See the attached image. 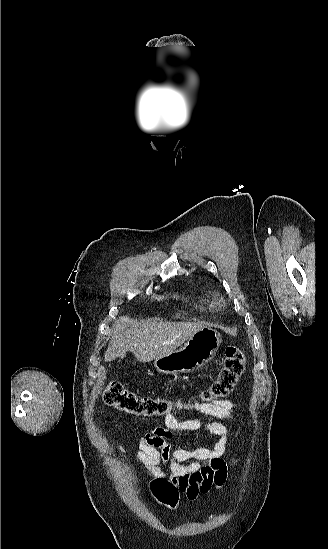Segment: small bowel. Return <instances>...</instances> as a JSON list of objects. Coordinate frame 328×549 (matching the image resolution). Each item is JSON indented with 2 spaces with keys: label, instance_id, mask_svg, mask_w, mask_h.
Segmentation results:
<instances>
[{
  "label": "small bowel",
  "instance_id": "small-bowel-1",
  "mask_svg": "<svg viewBox=\"0 0 328 549\" xmlns=\"http://www.w3.org/2000/svg\"><path fill=\"white\" fill-rule=\"evenodd\" d=\"M235 408V402L228 399L188 403L185 410L196 411L217 421L178 420L170 413L165 416L163 427H156L137 439V452L129 455L121 445L117 446V451L124 457L142 462L148 474L171 481L188 499L194 500L200 493L213 487L220 488L226 481L228 468L237 463L236 457L224 459L228 429L222 422L233 420ZM174 431H206L218 439L211 448L173 449L168 440Z\"/></svg>",
  "mask_w": 328,
  "mask_h": 549
}]
</instances>
